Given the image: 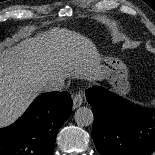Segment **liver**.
Returning a JSON list of instances; mask_svg holds the SVG:
<instances>
[{
    "label": "liver",
    "instance_id": "1",
    "mask_svg": "<svg viewBox=\"0 0 155 155\" xmlns=\"http://www.w3.org/2000/svg\"><path fill=\"white\" fill-rule=\"evenodd\" d=\"M103 80L93 43L64 28L0 49V128L18 119L52 80Z\"/></svg>",
    "mask_w": 155,
    "mask_h": 155
}]
</instances>
